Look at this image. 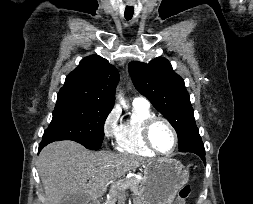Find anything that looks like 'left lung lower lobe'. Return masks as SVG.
Returning a JSON list of instances; mask_svg holds the SVG:
<instances>
[{
  "instance_id": "1",
  "label": "left lung lower lobe",
  "mask_w": 253,
  "mask_h": 204,
  "mask_svg": "<svg viewBox=\"0 0 253 204\" xmlns=\"http://www.w3.org/2000/svg\"><path fill=\"white\" fill-rule=\"evenodd\" d=\"M190 143L186 146L179 148L180 152H192L197 154L205 164V149L204 144L199 135V130L195 127L189 135Z\"/></svg>"
}]
</instances>
